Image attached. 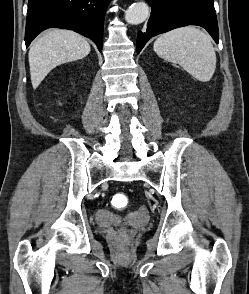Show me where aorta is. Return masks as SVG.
Here are the masks:
<instances>
[{"instance_id": "obj_1", "label": "aorta", "mask_w": 249, "mask_h": 294, "mask_svg": "<svg viewBox=\"0 0 249 294\" xmlns=\"http://www.w3.org/2000/svg\"><path fill=\"white\" fill-rule=\"evenodd\" d=\"M149 16V7L144 2L132 4L125 13V20L132 24L137 25L144 22Z\"/></svg>"}]
</instances>
